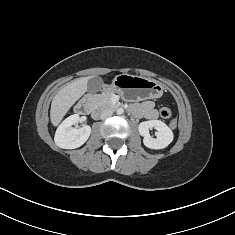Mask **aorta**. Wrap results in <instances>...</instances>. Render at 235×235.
<instances>
[{"label":"aorta","mask_w":235,"mask_h":235,"mask_svg":"<svg viewBox=\"0 0 235 235\" xmlns=\"http://www.w3.org/2000/svg\"><path fill=\"white\" fill-rule=\"evenodd\" d=\"M123 112H124V110H123L122 108L117 109V114H118V115L123 114Z\"/></svg>","instance_id":"aorta-1"}]
</instances>
